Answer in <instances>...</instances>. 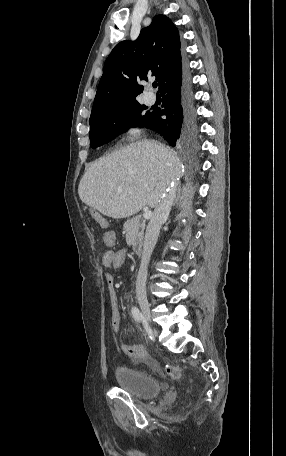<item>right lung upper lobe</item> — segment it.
Wrapping results in <instances>:
<instances>
[{"mask_svg": "<svg viewBox=\"0 0 286 456\" xmlns=\"http://www.w3.org/2000/svg\"><path fill=\"white\" fill-rule=\"evenodd\" d=\"M155 76L161 92L182 76L180 38L176 26L165 15H157L143 28L136 41L118 43L104 64L90 121L104 112L138 103L142 92L138 80Z\"/></svg>", "mask_w": 286, "mask_h": 456, "instance_id": "right-lung-upper-lobe-1", "label": "right lung upper lobe"}]
</instances>
